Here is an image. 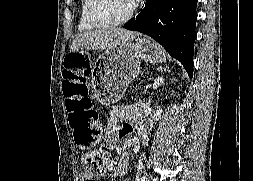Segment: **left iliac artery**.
Returning a JSON list of instances; mask_svg holds the SVG:
<instances>
[{
	"instance_id": "left-iliac-artery-1",
	"label": "left iliac artery",
	"mask_w": 253,
	"mask_h": 181,
	"mask_svg": "<svg viewBox=\"0 0 253 181\" xmlns=\"http://www.w3.org/2000/svg\"><path fill=\"white\" fill-rule=\"evenodd\" d=\"M141 181H147L146 178H145V176H143V177L141 178Z\"/></svg>"
}]
</instances>
